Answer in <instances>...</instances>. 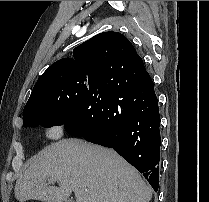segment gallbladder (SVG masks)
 Masks as SVG:
<instances>
[{"label":"gallbladder","mask_w":209,"mask_h":202,"mask_svg":"<svg viewBox=\"0 0 209 202\" xmlns=\"http://www.w3.org/2000/svg\"><path fill=\"white\" fill-rule=\"evenodd\" d=\"M65 202H74L71 198L66 200Z\"/></svg>","instance_id":"obj_1"}]
</instances>
